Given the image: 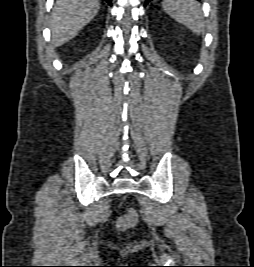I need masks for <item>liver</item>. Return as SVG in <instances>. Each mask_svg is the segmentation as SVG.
I'll return each mask as SVG.
<instances>
[{
  "label": "liver",
  "mask_w": 254,
  "mask_h": 267,
  "mask_svg": "<svg viewBox=\"0 0 254 267\" xmlns=\"http://www.w3.org/2000/svg\"><path fill=\"white\" fill-rule=\"evenodd\" d=\"M99 9L98 0H58L51 14L52 45L59 47L74 38Z\"/></svg>",
  "instance_id": "liver-1"
}]
</instances>
